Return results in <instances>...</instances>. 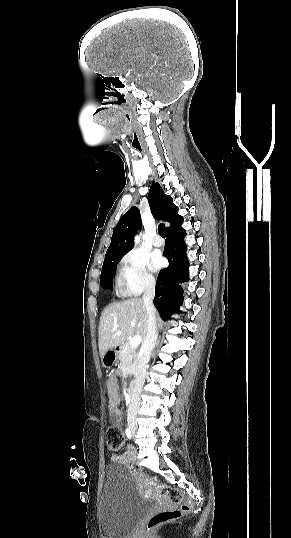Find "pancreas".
<instances>
[{
  "label": "pancreas",
  "mask_w": 291,
  "mask_h": 538,
  "mask_svg": "<svg viewBox=\"0 0 291 538\" xmlns=\"http://www.w3.org/2000/svg\"><path fill=\"white\" fill-rule=\"evenodd\" d=\"M136 356V350L128 342H125L121 346L118 358L123 372L133 373L136 364Z\"/></svg>",
  "instance_id": "obj_1"
}]
</instances>
